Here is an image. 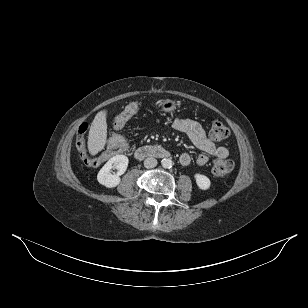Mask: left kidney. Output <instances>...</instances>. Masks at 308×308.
I'll return each mask as SVG.
<instances>
[{
	"mask_svg": "<svg viewBox=\"0 0 308 308\" xmlns=\"http://www.w3.org/2000/svg\"><path fill=\"white\" fill-rule=\"evenodd\" d=\"M194 178L196 180L197 186L201 190H208L210 188L211 182L207 176L197 173L194 175Z\"/></svg>",
	"mask_w": 308,
	"mask_h": 308,
	"instance_id": "left-kidney-1",
	"label": "left kidney"
}]
</instances>
